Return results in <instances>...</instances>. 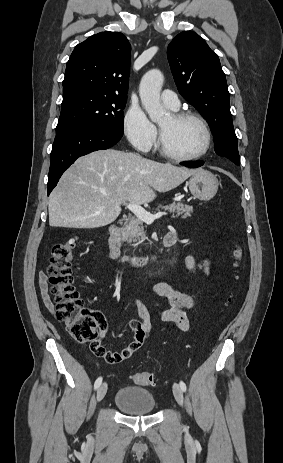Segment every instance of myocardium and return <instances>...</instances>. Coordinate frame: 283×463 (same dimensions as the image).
<instances>
[{"instance_id":"f54148a6","label":"myocardium","mask_w":283,"mask_h":463,"mask_svg":"<svg viewBox=\"0 0 283 463\" xmlns=\"http://www.w3.org/2000/svg\"><path fill=\"white\" fill-rule=\"evenodd\" d=\"M171 117H172V119L174 121H182V120H186V119H193V120H196L197 122H199L200 125L202 126L203 130H204V133H205L204 145H203L202 150L200 152H198L197 154H194V155H191V156L176 155V154H174V153H172V152H170L169 150L166 149V147L163 144L161 133H160L159 141H158V150H159L160 154L162 156H164L165 158L176 161V162H192V161H196V160H199L202 157H204L207 154V152L209 151V149L211 147V142H212V132H211V129H210V126H209L207 120L202 115H200L199 113L193 112V111L173 112L171 114Z\"/></svg>"}]
</instances>
